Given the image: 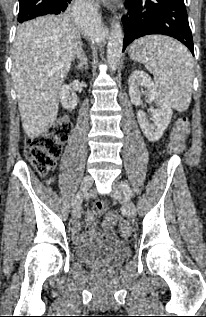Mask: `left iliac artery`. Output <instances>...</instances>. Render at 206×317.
Here are the masks:
<instances>
[{
	"label": "left iliac artery",
	"mask_w": 206,
	"mask_h": 317,
	"mask_svg": "<svg viewBox=\"0 0 206 317\" xmlns=\"http://www.w3.org/2000/svg\"><path fill=\"white\" fill-rule=\"evenodd\" d=\"M121 186L127 196L132 197L134 195L132 189L126 183L121 182Z\"/></svg>",
	"instance_id": "1"
}]
</instances>
